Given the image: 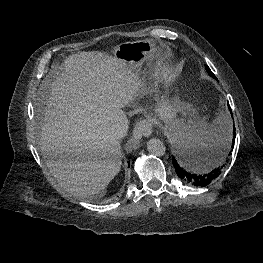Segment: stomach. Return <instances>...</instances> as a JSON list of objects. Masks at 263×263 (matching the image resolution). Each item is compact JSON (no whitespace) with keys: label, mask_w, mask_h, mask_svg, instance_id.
<instances>
[{"label":"stomach","mask_w":263,"mask_h":263,"mask_svg":"<svg viewBox=\"0 0 263 263\" xmlns=\"http://www.w3.org/2000/svg\"><path fill=\"white\" fill-rule=\"evenodd\" d=\"M161 52L153 43L148 40H140L134 42H125L115 47L114 57L122 61L126 65L131 66L135 71H139L145 62H156V54ZM164 82H168V78L164 75ZM179 108L171 103L168 99H158L154 109V116L162 120L166 128L171 133L177 127L176 114Z\"/></svg>","instance_id":"obj_1"}]
</instances>
